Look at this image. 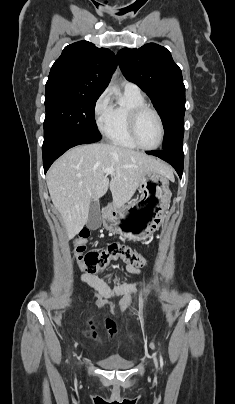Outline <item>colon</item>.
Segmentation results:
<instances>
[{"instance_id": "5ec220e1", "label": "colon", "mask_w": 235, "mask_h": 404, "mask_svg": "<svg viewBox=\"0 0 235 404\" xmlns=\"http://www.w3.org/2000/svg\"><path fill=\"white\" fill-rule=\"evenodd\" d=\"M88 238L89 231L82 229L74 240L73 254L78 265L89 274H94L107 268L112 261L118 259L136 267L147 265L146 259L141 254L118 242L109 243L105 248L100 250L87 251L86 242ZM92 323L93 320H90V324ZM112 325L113 322L111 320H106L105 326L109 332L112 331L110 329Z\"/></svg>"}]
</instances>
